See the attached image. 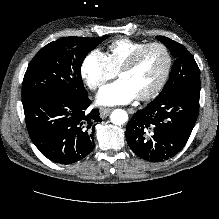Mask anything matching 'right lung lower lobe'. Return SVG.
Returning a JSON list of instances; mask_svg holds the SVG:
<instances>
[{
  "mask_svg": "<svg viewBox=\"0 0 219 219\" xmlns=\"http://www.w3.org/2000/svg\"><path fill=\"white\" fill-rule=\"evenodd\" d=\"M86 96L54 93L23 103L27 130L39 151L53 162L74 163L94 148L99 110L88 111Z\"/></svg>",
  "mask_w": 219,
  "mask_h": 219,
  "instance_id": "98d812e1",
  "label": "right lung lower lobe"
}]
</instances>
